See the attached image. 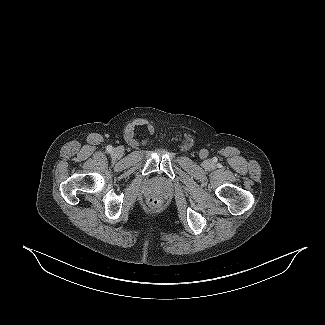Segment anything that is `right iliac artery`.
Returning <instances> with one entry per match:
<instances>
[{"label":"right iliac artery","instance_id":"right-iliac-artery-1","mask_svg":"<svg viewBox=\"0 0 325 325\" xmlns=\"http://www.w3.org/2000/svg\"><path fill=\"white\" fill-rule=\"evenodd\" d=\"M112 149H113V148H112L111 145H108V146L106 147V150H107V152H109V153L112 152Z\"/></svg>","mask_w":325,"mask_h":325}]
</instances>
